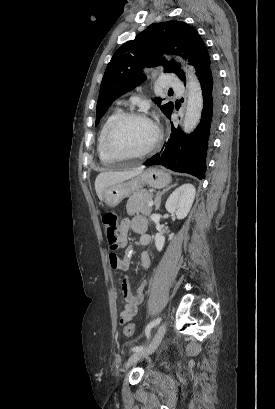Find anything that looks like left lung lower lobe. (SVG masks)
Instances as JSON below:
<instances>
[{"instance_id":"1","label":"left lung lower lobe","mask_w":275,"mask_h":409,"mask_svg":"<svg viewBox=\"0 0 275 409\" xmlns=\"http://www.w3.org/2000/svg\"><path fill=\"white\" fill-rule=\"evenodd\" d=\"M198 79L203 94L200 124L191 134L186 135L171 122L172 131L167 143L145 165L160 164L175 172L205 178L207 149L221 114L222 88L218 72L211 63L198 75ZM167 117L171 118V113Z\"/></svg>"}]
</instances>
